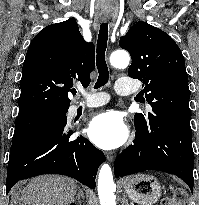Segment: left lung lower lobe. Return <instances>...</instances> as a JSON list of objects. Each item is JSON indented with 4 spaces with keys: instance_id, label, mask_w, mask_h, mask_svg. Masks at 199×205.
Here are the masks:
<instances>
[{
    "instance_id": "0a47b994",
    "label": "left lung lower lobe",
    "mask_w": 199,
    "mask_h": 205,
    "mask_svg": "<svg viewBox=\"0 0 199 205\" xmlns=\"http://www.w3.org/2000/svg\"><path fill=\"white\" fill-rule=\"evenodd\" d=\"M135 129L134 144L115 159V176L159 170L180 177L193 192L194 152L190 119L159 113L147 127L135 125Z\"/></svg>"
}]
</instances>
